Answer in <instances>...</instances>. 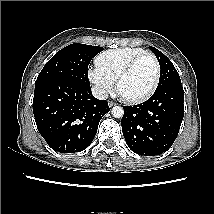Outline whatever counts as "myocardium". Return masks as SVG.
Instances as JSON below:
<instances>
[{
	"mask_svg": "<svg viewBox=\"0 0 214 214\" xmlns=\"http://www.w3.org/2000/svg\"><path fill=\"white\" fill-rule=\"evenodd\" d=\"M144 58H149L152 60V62L154 63L155 66V79L153 82L152 87L149 89L148 92H146L144 95L140 96V97H136V98H128L126 96H124L121 91H120V85L122 83V81L124 80V78L133 70V68ZM160 79H161V68H160V64L157 60V58L151 54V53H143L135 58H133L119 73L116 83H117V91L118 94L120 95V97L127 103L130 104H139V103H143L145 101H147L149 98H151L153 96V94L156 92L159 83H160Z\"/></svg>",
	"mask_w": 214,
	"mask_h": 214,
	"instance_id": "myocardium-1",
	"label": "myocardium"
}]
</instances>
